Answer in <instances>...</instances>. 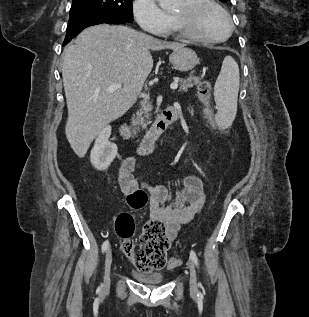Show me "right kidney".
Segmentation results:
<instances>
[{
  "label": "right kidney",
  "mask_w": 309,
  "mask_h": 317,
  "mask_svg": "<svg viewBox=\"0 0 309 317\" xmlns=\"http://www.w3.org/2000/svg\"><path fill=\"white\" fill-rule=\"evenodd\" d=\"M110 135L111 126L104 127L98 134L91 150L90 160L98 171L106 170L117 155V146L108 140Z\"/></svg>",
  "instance_id": "1"
}]
</instances>
